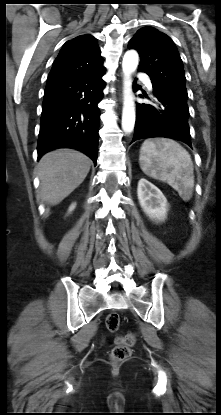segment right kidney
<instances>
[{"label": "right kidney", "instance_id": "obj_1", "mask_svg": "<svg viewBox=\"0 0 221 415\" xmlns=\"http://www.w3.org/2000/svg\"><path fill=\"white\" fill-rule=\"evenodd\" d=\"M75 206H76V204H72V205L69 207V212L73 211V210H74V208H75Z\"/></svg>", "mask_w": 221, "mask_h": 415}]
</instances>
